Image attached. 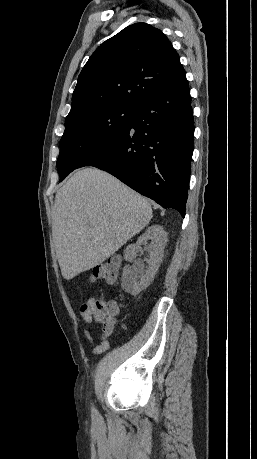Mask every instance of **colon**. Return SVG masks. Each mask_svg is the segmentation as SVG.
<instances>
[{"label": "colon", "mask_w": 257, "mask_h": 459, "mask_svg": "<svg viewBox=\"0 0 257 459\" xmlns=\"http://www.w3.org/2000/svg\"><path fill=\"white\" fill-rule=\"evenodd\" d=\"M119 266L120 260L118 258L108 259L94 269L92 279L105 280L107 282L114 281L117 276ZM81 310L91 311L98 318L106 320L112 313V306L110 302L97 299L92 302H84L81 305Z\"/></svg>", "instance_id": "obj_1"}]
</instances>
